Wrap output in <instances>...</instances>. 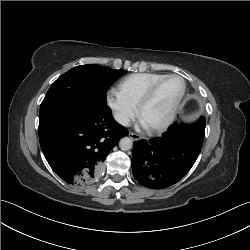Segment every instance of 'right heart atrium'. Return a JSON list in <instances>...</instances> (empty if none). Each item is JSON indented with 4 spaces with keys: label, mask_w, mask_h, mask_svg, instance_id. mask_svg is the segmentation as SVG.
<instances>
[{
    "label": "right heart atrium",
    "mask_w": 250,
    "mask_h": 250,
    "mask_svg": "<svg viewBox=\"0 0 250 250\" xmlns=\"http://www.w3.org/2000/svg\"><path fill=\"white\" fill-rule=\"evenodd\" d=\"M106 99L115 120L120 125L127 126L136 115V106L127 101L123 95L115 89L108 91Z\"/></svg>",
    "instance_id": "d8ad5b80"
}]
</instances>
